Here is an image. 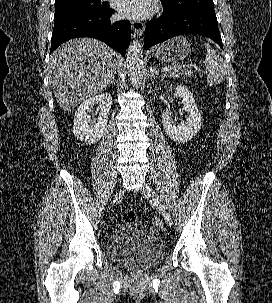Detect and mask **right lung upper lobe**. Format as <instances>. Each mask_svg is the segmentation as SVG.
Masks as SVG:
<instances>
[{"instance_id": "1", "label": "right lung upper lobe", "mask_w": 272, "mask_h": 303, "mask_svg": "<svg viewBox=\"0 0 272 303\" xmlns=\"http://www.w3.org/2000/svg\"><path fill=\"white\" fill-rule=\"evenodd\" d=\"M62 1H66V0H56V2H62Z\"/></svg>"}]
</instances>
